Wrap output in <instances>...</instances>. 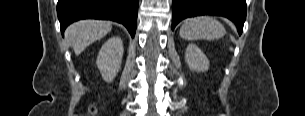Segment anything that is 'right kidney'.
I'll return each instance as SVG.
<instances>
[{"instance_id":"ca27d5eb","label":"right kidney","mask_w":305,"mask_h":116,"mask_svg":"<svg viewBox=\"0 0 305 116\" xmlns=\"http://www.w3.org/2000/svg\"><path fill=\"white\" fill-rule=\"evenodd\" d=\"M123 43L120 37L108 39L101 47L97 56V67L102 78L106 82H111L121 68L123 57Z\"/></svg>"}]
</instances>
